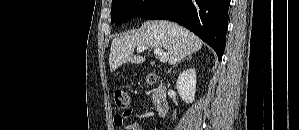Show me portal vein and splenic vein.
Instances as JSON below:
<instances>
[{
  "mask_svg": "<svg viewBox=\"0 0 299 130\" xmlns=\"http://www.w3.org/2000/svg\"><path fill=\"white\" fill-rule=\"evenodd\" d=\"M146 49H148V47L139 46L137 47V52H142ZM154 53L159 57L160 62L165 63L169 59V54L167 52H164L161 48H155Z\"/></svg>",
  "mask_w": 299,
  "mask_h": 130,
  "instance_id": "1",
  "label": "portal vein and splenic vein"
}]
</instances>
